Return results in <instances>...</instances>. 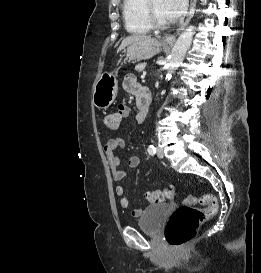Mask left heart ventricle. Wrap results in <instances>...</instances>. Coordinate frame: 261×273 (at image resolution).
I'll list each match as a JSON object with an SVG mask.
<instances>
[{"label":"left heart ventricle","mask_w":261,"mask_h":273,"mask_svg":"<svg viewBox=\"0 0 261 273\" xmlns=\"http://www.w3.org/2000/svg\"><path fill=\"white\" fill-rule=\"evenodd\" d=\"M153 8L155 10L156 15L158 18L163 21L168 23V19L166 17L165 11H164V2L163 0H153Z\"/></svg>","instance_id":"left-heart-ventricle-1"}]
</instances>
